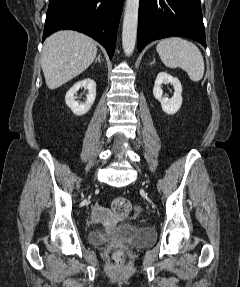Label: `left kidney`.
<instances>
[{"label":"left kidney","instance_id":"1","mask_svg":"<svg viewBox=\"0 0 240 287\" xmlns=\"http://www.w3.org/2000/svg\"><path fill=\"white\" fill-rule=\"evenodd\" d=\"M168 83H171L174 87V95L172 98L163 97V90L161 86L162 84ZM181 93L182 86L177 78L171 76L166 72L158 73L154 83L153 95L161 103L162 110L165 113L173 115L180 109L182 104Z\"/></svg>","mask_w":240,"mask_h":287}]
</instances>
